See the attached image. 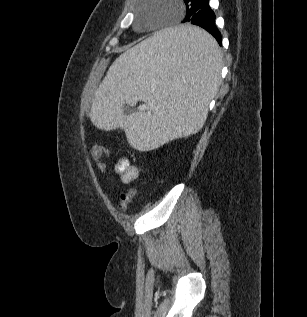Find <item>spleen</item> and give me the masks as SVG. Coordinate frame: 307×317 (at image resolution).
<instances>
[{"label": "spleen", "mask_w": 307, "mask_h": 317, "mask_svg": "<svg viewBox=\"0 0 307 317\" xmlns=\"http://www.w3.org/2000/svg\"><path fill=\"white\" fill-rule=\"evenodd\" d=\"M221 52L199 26L158 29L120 55L93 97L91 119L100 129H124L129 143L150 148L197 133L219 88ZM143 100L152 114L125 117L124 101Z\"/></svg>", "instance_id": "spleen-1"}]
</instances>
